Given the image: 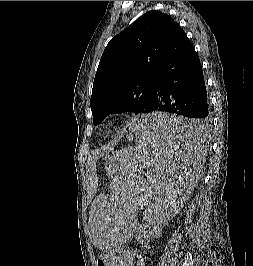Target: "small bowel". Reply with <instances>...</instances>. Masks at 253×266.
Segmentation results:
<instances>
[{"mask_svg":"<svg viewBox=\"0 0 253 266\" xmlns=\"http://www.w3.org/2000/svg\"><path fill=\"white\" fill-rule=\"evenodd\" d=\"M118 260V266H148L146 260L140 253L130 249L122 250Z\"/></svg>","mask_w":253,"mask_h":266,"instance_id":"obj_1","label":"small bowel"}]
</instances>
